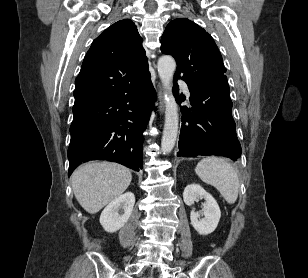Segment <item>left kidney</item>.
Returning a JSON list of instances; mask_svg holds the SVG:
<instances>
[{
    "label": "left kidney",
    "mask_w": 308,
    "mask_h": 278,
    "mask_svg": "<svg viewBox=\"0 0 308 278\" xmlns=\"http://www.w3.org/2000/svg\"><path fill=\"white\" fill-rule=\"evenodd\" d=\"M198 197L205 199L204 210L200 219V213L194 210L190 213L191 224L200 235L211 234L217 227L221 212L216 200L206 192L200 185H188L183 192V199L186 205L192 206Z\"/></svg>",
    "instance_id": "obj_1"
}]
</instances>
